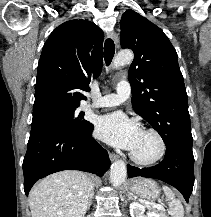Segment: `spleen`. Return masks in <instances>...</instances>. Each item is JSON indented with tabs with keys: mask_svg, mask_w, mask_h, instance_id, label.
<instances>
[{
	"mask_svg": "<svg viewBox=\"0 0 211 217\" xmlns=\"http://www.w3.org/2000/svg\"><path fill=\"white\" fill-rule=\"evenodd\" d=\"M163 191L166 195V201H168L171 216L184 217V208L181 202L175 198L173 191L167 186H163Z\"/></svg>",
	"mask_w": 211,
	"mask_h": 217,
	"instance_id": "1",
	"label": "spleen"
}]
</instances>
